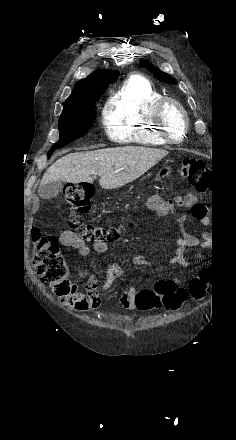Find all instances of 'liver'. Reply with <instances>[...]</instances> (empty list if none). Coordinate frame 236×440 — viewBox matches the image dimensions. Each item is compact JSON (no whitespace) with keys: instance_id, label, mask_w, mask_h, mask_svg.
Listing matches in <instances>:
<instances>
[{"instance_id":"6515ba94","label":"liver","mask_w":236,"mask_h":440,"mask_svg":"<svg viewBox=\"0 0 236 440\" xmlns=\"http://www.w3.org/2000/svg\"><path fill=\"white\" fill-rule=\"evenodd\" d=\"M167 154L162 149L136 146L70 153L47 169L40 187L56 181L92 183L91 175H98L103 189H116L139 178Z\"/></svg>"}]
</instances>
